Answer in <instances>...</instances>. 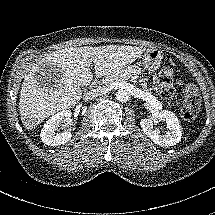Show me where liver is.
<instances>
[{
    "label": "liver",
    "mask_w": 215,
    "mask_h": 215,
    "mask_svg": "<svg viewBox=\"0 0 215 215\" xmlns=\"http://www.w3.org/2000/svg\"><path fill=\"white\" fill-rule=\"evenodd\" d=\"M146 51L126 45L65 46L31 63L19 92L18 109L25 130L32 131L47 118L75 106L94 75L108 76L130 65ZM41 68L55 76L41 73ZM46 80V82H45Z\"/></svg>",
    "instance_id": "obj_1"
}]
</instances>
